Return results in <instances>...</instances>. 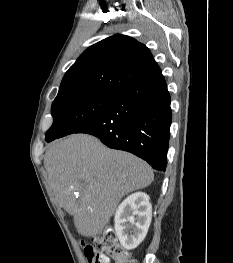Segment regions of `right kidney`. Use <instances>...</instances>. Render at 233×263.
<instances>
[{
	"label": "right kidney",
	"instance_id": "1",
	"mask_svg": "<svg viewBox=\"0 0 233 263\" xmlns=\"http://www.w3.org/2000/svg\"><path fill=\"white\" fill-rule=\"evenodd\" d=\"M152 218L149 196L136 192L122 201L115 213V231L121 245L135 249L145 238Z\"/></svg>",
	"mask_w": 233,
	"mask_h": 263
}]
</instances>
